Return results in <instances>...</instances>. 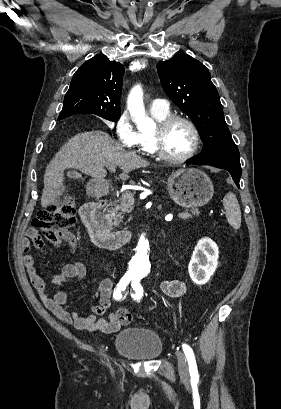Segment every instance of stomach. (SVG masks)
Returning a JSON list of instances; mask_svg holds the SVG:
<instances>
[{
  "mask_svg": "<svg viewBox=\"0 0 281 409\" xmlns=\"http://www.w3.org/2000/svg\"><path fill=\"white\" fill-rule=\"evenodd\" d=\"M108 188L109 184L106 180H97V178H92L86 184V192L92 198L107 194ZM167 188L177 205L187 209L207 205L214 194V186L209 176L198 168H178L168 176Z\"/></svg>",
  "mask_w": 281,
  "mask_h": 409,
  "instance_id": "stomach-1",
  "label": "stomach"
}]
</instances>
